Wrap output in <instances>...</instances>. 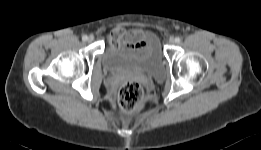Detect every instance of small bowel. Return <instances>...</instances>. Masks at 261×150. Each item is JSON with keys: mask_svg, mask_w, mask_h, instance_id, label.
Returning <instances> with one entry per match:
<instances>
[{"mask_svg": "<svg viewBox=\"0 0 261 150\" xmlns=\"http://www.w3.org/2000/svg\"><path fill=\"white\" fill-rule=\"evenodd\" d=\"M115 34L119 37V39L126 38V40L124 42L132 43L131 42V40L133 39L132 33H123L122 30L118 29L115 32ZM117 42H119V40ZM134 44H135V46H141L142 45L141 42H135Z\"/></svg>", "mask_w": 261, "mask_h": 150, "instance_id": "c3829d8e", "label": "small bowel"}]
</instances>
